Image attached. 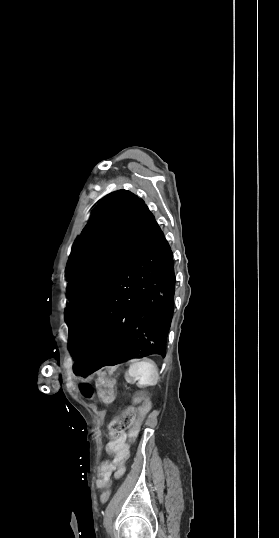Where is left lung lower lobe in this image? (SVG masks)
I'll list each match as a JSON object with an SVG mask.
<instances>
[{"label":"left lung lower lobe","instance_id":"1","mask_svg":"<svg viewBox=\"0 0 279 538\" xmlns=\"http://www.w3.org/2000/svg\"><path fill=\"white\" fill-rule=\"evenodd\" d=\"M172 251L155 223L85 320L69 332L74 373L87 376L133 354H166L174 309Z\"/></svg>","mask_w":279,"mask_h":538}]
</instances>
